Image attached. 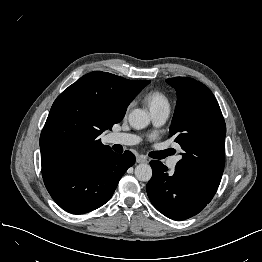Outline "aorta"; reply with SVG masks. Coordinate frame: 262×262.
<instances>
[{"label":"aorta","mask_w":262,"mask_h":262,"mask_svg":"<svg viewBox=\"0 0 262 262\" xmlns=\"http://www.w3.org/2000/svg\"><path fill=\"white\" fill-rule=\"evenodd\" d=\"M129 124L135 129H143L150 123L148 113L143 109H134L130 112ZM135 177L142 182H148L152 177V168L148 164H139L135 168Z\"/></svg>","instance_id":"762f6f07"}]
</instances>
